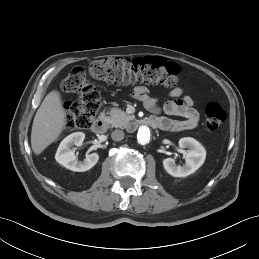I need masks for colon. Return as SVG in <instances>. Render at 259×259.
I'll return each mask as SVG.
<instances>
[{
  "mask_svg": "<svg viewBox=\"0 0 259 259\" xmlns=\"http://www.w3.org/2000/svg\"><path fill=\"white\" fill-rule=\"evenodd\" d=\"M94 79L111 84H158L174 87L178 84V67L164 59L145 57L127 59L109 57L93 61L87 71L82 67L70 70L61 83V88L74 94L76 101L67 106L65 127L68 130L90 127L100 108V93L88 80ZM205 126L216 131L225 121L226 112L217 102H209L204 110Z\"/></svg>",
  "mask_w": 259,
  "mask_h": 259,
  "instance_id": "colon-1",
  "label": "colon"
}]
</instances>
